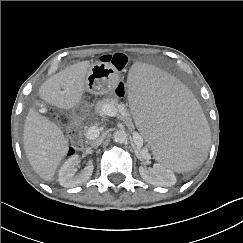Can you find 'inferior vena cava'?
I'll list each match as a JSON object with an SVG mask.
<instances>
[{
	"label": "inferior vena cava",
	"mask_w": 243,
	"mask_h": 243,
	"mask_svg": "<svg viewBox=\"0 0 243 243\" xmlns=\"http://www.w3.org/2000/svg\"><path fill=\"white\" fill-rule=\"evenodd\" d=\"M97 129H98V128H97ZM98 135H99V134H97L95 137L91 138V139L94 140V141L92 142V147H98V146L102 143L103 139H102V138H97Z\"/></svg>",
	"instance_id": "602c4592"
}]
</instances>
